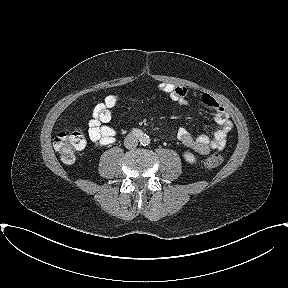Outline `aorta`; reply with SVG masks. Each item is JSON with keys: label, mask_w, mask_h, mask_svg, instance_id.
<instances>
[{"label": "aorta", "mask_w": 288, "mask_h": 288, "mask_svg": "<svg viewBox=\"0 0 288 288\" xmlns=\"http://www.w3.org/2000/svg\"><path fill=\"white\" fill-rule=\"evenodd\" d=\"M141 143H142L143 145H148V144L150 143L149 137H148V136L142 137V138H141Z\"/></svg>", "instance_id": "obj_1"}]
</instances>
